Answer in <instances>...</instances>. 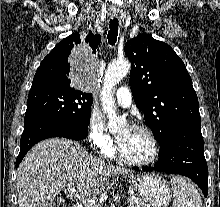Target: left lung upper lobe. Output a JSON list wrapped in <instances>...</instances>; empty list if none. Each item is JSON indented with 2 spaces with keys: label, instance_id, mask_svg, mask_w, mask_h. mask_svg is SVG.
<instances>
[{
  "label": "left lung upper lobe",
  "instance_id": "5c2ea615",
  "mask_svg": "<svg viewBox=\"0 0 220 207\" xmlns=\"http://www.w3.org/2000/svg\"><path fill=\"white\" fill-rule=\"evenodd\" d=\"M130 85L145 121L163 142L178 126L200 121L199 103L184 62L166 43L138 34L125 44Z\"/></svg>",
  "mask_w": 220,
  "mask_h": 207
}]
</instances>
